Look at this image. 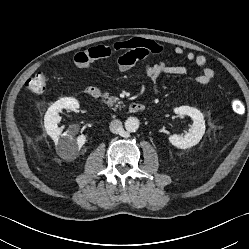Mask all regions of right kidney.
Returning a JSON list of instances; mask_svg holds the SVG:
<instances>
[{
	"mask_svg": "<svg viewBox=\"0 0 249 249\" xmlns=\"http://www.w3.org/2000/svg\"><path fill=\"white\" fill-rule=\"evenodd\" d=\"M64 108L76 110L79 108V103L72 97L59 99L47 110L44 117V126L47 134L55 142L58 155L64 160H73L85 144L86 136L82 134L75 138V131L71 129L62 133V129L58 127V123L61 120L59 112Z\"/></svg>",
	"mask_w": 249,
	"mask_h": 249,
	"instance_id": "1",
	"label": "right kidney"
}]
</instances>
